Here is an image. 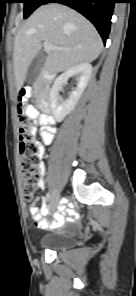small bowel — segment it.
<instances>
[{
    "mask_svg": "<svg viewBox=\"0 0 136 296\" xmlns=\"http://www.w3.org/2000/svg\"><path fill=\"white\" fill-rule=\"evenodd\" d=\"M29 115L33 118L38 119L43 124V126L38 131L41 140L37 142L39 149L38 157L42 158L45 153V145L50 144L52 142L56 129L53 125L48 124L46 122V116L40 114L38 111L32 109ZM37 170L40 175L37 186L38 188L43 189L45 186V166L43 162L38 163ZM45 210H47V208L46 205L43 204L40 208L34 207L31 211L34 225L38 228H44L47 226L46 220L43 219V215H46L44 213ZM75 219L76 214L73 211H68L66 213H56L55 220L52 223L51 228L56 229L59 233H63L64 230L62 226L64 222H73Z\"/></svg>",
    "mask_w": 136,
    "mask_h": 296,
    "instance_id": "obj_1",
    "label": "small bowel"
}]
</instances>
